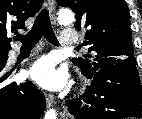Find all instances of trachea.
<instances>
[{"label":"trachea","instance_id":"3493384b","mask_svg":"<svg viewBox=\"0 0 142 119\" xmlns=\"http://www.w3.org/2000/svg\"><path fill=\"white\" fill-rule=\"evenodd\" d=\"M42 36L51 44L58 45V40L51 26L49 12L46 9L38 14L32 29L26 35L18 34L15 40L20 41L22 47H34Z\"/></svg>","mask_w":142,"mask_h":119}]
</instances>
